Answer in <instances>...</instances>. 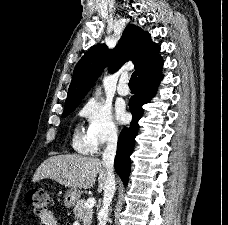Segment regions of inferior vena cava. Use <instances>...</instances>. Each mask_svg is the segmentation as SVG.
Here are the masks:
<instances>
[{
	"label": "inferior vena cava",
	"instance_id": "602c4592",
	"mask_svg": "<svg viewBox=\"0 0 228 225\" xmlns=\"http://www.w3.org/2000/svg\"><path fill=\"white\" fill-rule=\"evenodd\" d=\"M117 149V133L116 131H110L109 141L107 147L103 153L102 165L105 167L106 181L104 185L103 193V207L97 213V219L99 225H106L109 213L110 203L113 199V195L116 191L115 187V175H114V159Z\"/></svg>",
	"mask_w": 228,
	"mask_h": 225
}]
</instances>
